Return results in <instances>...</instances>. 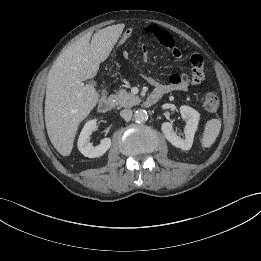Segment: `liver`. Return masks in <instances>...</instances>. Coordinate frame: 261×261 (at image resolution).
I'll return each instance as SVG.
<instances>
[{
  "mask_svg": "<svg viewBox=\"0 0 261 261\" xmlns=\"http://www.w3.org/2000/svg\"><path fill=\"white\" fill-rule=\"evenodd\" d=\"M123 28V24L103 28L91 42L89 36L78 39L58 56L49 71L45 124L52 145L62 156L70 155L79 124L99 100L96 89L83 81L96 76Z\"/></svg>",
  "mask_w": 261,
  "mask_h": 261,
  "instance_id": "obj_1",
  "label": "liver"
}]
</instances>
